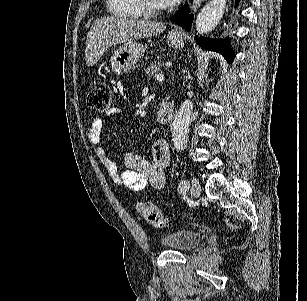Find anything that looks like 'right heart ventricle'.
Listing matches in <instances>:
<instances>
[{"instance_id":"right-heart-ventricle-1","label":"right heart ventricle","mask_w":307,"mask_h":301,"mask_svg":"<svg viewBox=\"0 0 307 301\" xmlns=\"http://www.w3.org/2000/svg\"><path fill=\"white\" fill-rule=\"evenodd\" d=\"M140 2L141 6L137 7L136 3ZM108 5L106 11L108 17H141V10L136 8H143V1L138 0H107Z\"/></svg>"}]
</instances>
